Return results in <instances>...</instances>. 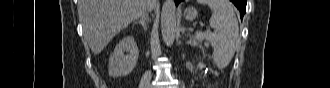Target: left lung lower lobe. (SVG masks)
<instances>
[{
	"instance_id": "left-lung-lower-lobe-1",
	"label": "left lung lower lobe",
	"mask_w": 330,
	"mask_h": 88,
	"mask_svg": "<svg viewBox=\"0 0 330 88\" xmlns=\"http://www.w3.org/2000/svg\"><path fill=\"white\" fill-rule=\"evenodd\" d=\"M181 1H183V0H175L176 5H178ZM230 1L233 2L235 4V6L239 9L240 16L242 19L246 12V0H230Z\"/></svg>"
}]
</instances>
